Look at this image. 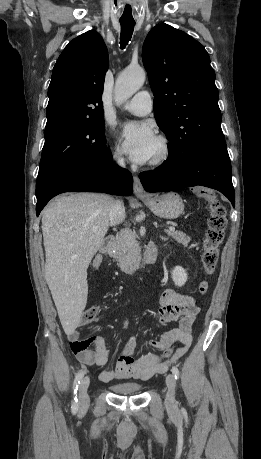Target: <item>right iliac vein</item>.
<instances>
[{"mask_svg":"<svg viewBox=\"0 0 261 459\" xmlns=\"http://www.w3.org/2000/svg\"><path fill=\"white\" fill-rule=\"evenodd\" d=\"M90 384V378L88 376L84 377L79 385V406L80 409H86L89 405V396L87 393L88 387Z\"/></svg>","mask_w":261,"mask_h":459,"instance_id":"right-iliac-vein-1","label":"right iliac vein"}]
</instances>
